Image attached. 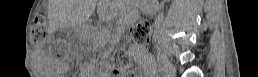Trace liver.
<instances>
[{"instance_id":"liver-1","label":"liver","mask_w":258,"mask_h":77,"mask_svg":"<svg viewBox=\"0 0 258 77\" xmlns=\"http://www.w3.org/2000/svg\"><path fill=\"white\" fill-rule=\"evenodd\" d=\"M63 21L68 25H73L76 22V2L69 0L67 6L63 10Z\"/></svg>"}]
</instances>
